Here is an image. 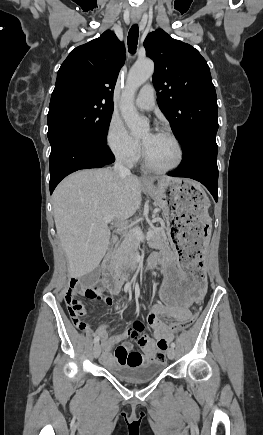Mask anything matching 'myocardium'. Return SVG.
Instances as JSON below:
<instances>
[{
  "instance_id": "obj_1",
  "label": "myocardium",
  "mask_w": 263,
  "mask_h": 435,
  "mask_svg": "<svg viewBox=\"0 0 263 435\" xmlns=\"http://www.w3.org/2000/svg\"><path fill=\"white\" fill-rule=\"evenodd\" d=\"M157 133L161 134L165 137H168L169 139H171L173 141V143L175 144L177 151H178L177 160L174 164H172L168 167H157L150 162L149 157H148L147 152H146V148L144 146L143 147L144 165L147 169H149L152 172L167 173V172H170V171L178 168L182 164L183 159H184V150H183V146H182L180 140L178 139V137L174 133H172L168 130H164V129L158 130Z\"/></svg>"
}]
</instances>
